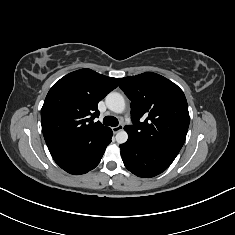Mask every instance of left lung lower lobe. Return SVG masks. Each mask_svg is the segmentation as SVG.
I'll list each match as a JSON object with an SVG mask.
<instances>
[{"label":"left lung lower lobe","mask_w":235,"mask_h":235,"mask_svg":"<svg viewBox=\"0 0 235 235\" xmlns=\"http://www.w3.org/2000/svg\"><path fill=\"white\" fill-rule=\"evenodd\" d=\"M121 156L126 168L136 176L154 177L166 170L175 157L142 145L128 137L120 145Z\"/></svg>","instance_id":"left-lung-lower-lobe-1"}]
</instances>
